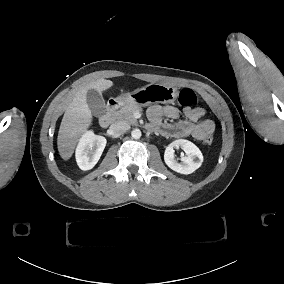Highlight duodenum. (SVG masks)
Returning <instances> with one entry per match:
<instances>
[{"instance_id": "duodenum-1", "label": "duodenum", "mask_w": 284, "mask_h": 284, "mask_svg": "<svg viewBox=\"0 0 284 284\" xmlns=\"http://www.w3.org/2000/svg\"><path fill=\"white\" fill-rule=\"evenodd\" d=\"M127 100L125 98H114L109 100L108 109L99 115L98 123L102 128H107L111 124L112 115L115 110H117L122 104H124Z\"/></svg>"}]
</instances>
